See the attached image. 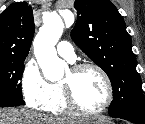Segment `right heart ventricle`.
Here are the masks:
<instances>
[{"mask_svg": "<svg viewBox=\"0 0 145 124\" xmlns=\"http://www.w3.org/2000/svg\"><path fill=\"white\" fill-rule=\"evenodd\" d=\"M49 84L51 93L50 101L47 104L41 106L40 109L55 116L66 115L69 112V108L66 104L60 83Z\"/></svg>", "mask_w": 145, "mask_h": 124, "instance_id": "e07e8e85", "label": "right heart ventricle"}]
</instances>
